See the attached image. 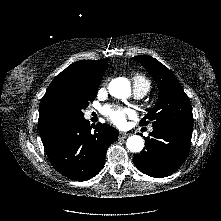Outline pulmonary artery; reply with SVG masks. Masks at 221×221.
I'll list each match as a JSON object with an SVG mask.
<instances>
[{
	"instance_id": "obj_1",
	"label": "pulmonary artery",
	"mask_w": 221,
	"mask_h": 221,
	"mask_svg": "<svg viewBox=\"0 0 221 221\" xmlns=\"http://www.w3.org/2000/svg\"><path fill=\"white\" fill-rule=\"evenodd\" d=\"M146 94H147V91L145 90L134 89V96L137 99L144 97Z\"/></svg>"
}]
</instances>
